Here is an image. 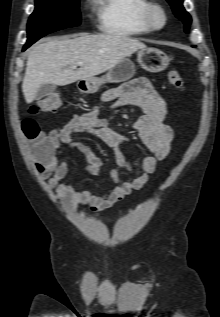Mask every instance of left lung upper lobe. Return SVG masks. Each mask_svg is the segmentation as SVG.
<instances>
[{"instance_id": "obj_1", "label": "left lung upper lobe", "mask_w": 220, "mask_h": 317, "mask_svg": "<svg viewBox=\"0 0 220 317\" xmlns=\"http://www.w3.org/2000/svg\"><path fill=\"white\" fill-rule=\"evenodd\" d=\"M169 4L172 6L173 12L175 15L184 22L185 26V32H188L189 26L191 24V17L190 15L185 11L182 3L183 0H167Z\"/></svg>"}]
</instances>
